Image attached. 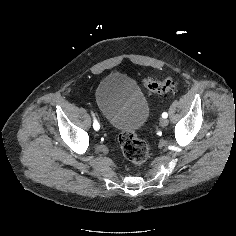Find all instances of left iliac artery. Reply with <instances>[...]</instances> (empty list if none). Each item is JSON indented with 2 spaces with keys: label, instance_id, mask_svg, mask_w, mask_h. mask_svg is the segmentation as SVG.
Masks as SVG:
<instances>
[{
  "label": "left iliac artery",
  "instance_id": "left-iliac-artery-1",
  "mask_svg": "<svg viewBox=\"0 0 236 236\" xmlns=\"http://www.w3.org/2000/svg\"><path fill=\"white\" fill-rule=\"evenodd\" d=\"M162 117H163V118H167V117H168L167 112H163V113H162Z\"/></svg>",
  "mask_w": 236,
  "mask_h": 236
}]
</instances>
